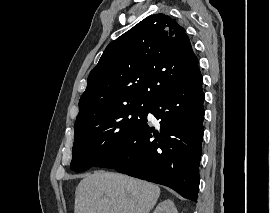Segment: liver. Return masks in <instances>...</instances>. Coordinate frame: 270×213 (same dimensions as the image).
Instances as JSON below:
<instances>
[{"mask_svg": "<svg viewBox=\"0 0 270 213\" xmlns=\"http://www.w3.org/2000/svg\"><path fill=\"white\" fill-rule=\"evenodd\" d=\"M159 196L160 188L154 184L98 171L76 187L74 213H149Z\"/></svg>", "mask_w": 270, "mask_h": 213, "instance_id": "1", "label": "liver"}]
</instances>
